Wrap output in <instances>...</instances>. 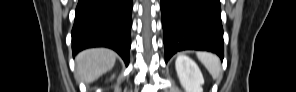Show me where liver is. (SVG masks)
I'll return each instance as SVG.
<instances>
[{
    "label": "liver",
    "mask_w": 296,
    "mask_h": 92,
    "mask_svg": "<svg viewBox=\"0 0 296 92\" xmlns=\"http://www.w3.org/2000/svg\"><path fill=\"white\" fill-rule=\"evenodd\" d=\"M116 53L107 48H91L76 57V79L89 84L111 70L116 62Z\"/></svg>",
    "instance_id": "obj_1"
}]
</instances>
